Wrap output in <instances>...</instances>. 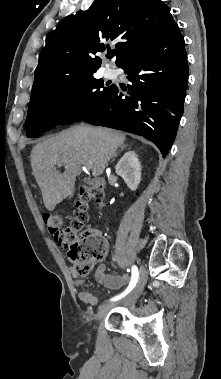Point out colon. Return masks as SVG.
Instances as JSON below:
<instances>
[{
	"mask_svg": "<svg viewBox=\"0 0 221 379\" xmlns=\"http://www.w3.org/2000/svg\"><path fill=\"white\" fill-rule=\"evenodd\" d=\"M105 193L102 186L80 190L76 202L77 214L68 226H64L59 214L46 213L44 223L55 241L68 250V258L78 275L87 276L96 262L106 253L105 242L100 233L91 226L89 206L91 202L101 203Z\"/></svg>",
	"mask_w": 221,
	"mask_h": 379,
	"instance_id": "obj_1",
	"label": "colon"
}]
</instances>
